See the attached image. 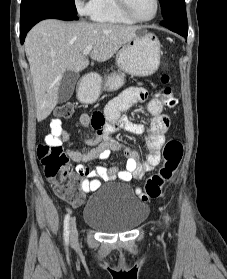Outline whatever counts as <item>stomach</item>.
Wrapping results in <instances>:
<instances>
[{"label": "stomach", "instance_id": "stomach-1", "mask_svg": "<svg viewBox=\"0 0 227 279\" xmlns=\"http://www.w3.org/2000/svg\"><path fill=\"white\" fill-rule=\"evenodd\" d=\"M161 45L157 37L140 28L133 39L128 41L117 52L116 64L119 73L107 77L104 86L100 80L86 81L80 85L77 96L81 102L94 103L102 89L114 91L124 84L125 74L133 76H149L159 67Z\"/></svg>", "mask_w": 227, "mask_h": 279}]
</instances>
